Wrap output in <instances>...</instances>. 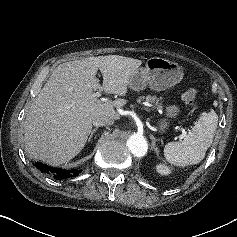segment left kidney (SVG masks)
I'll use <instances>...</instances> for the list:
<instances>
[{
  "mask_svg": "<svg viewBox=\"0 0 237 237\" xmlns=\"http://www.w3.org/2000/svg\"><path fill=\"white\" fill-rule=\"evenodd\" d=\"M156 170L161 175H168L171 172L170 168L168 166H166L165 164L156 165Z\"/></svg>",
  "mask_w": 237,
  "mask_h": 237,
  "instance_id": "1",
  "label": "left kidney"
}]
</instances>
